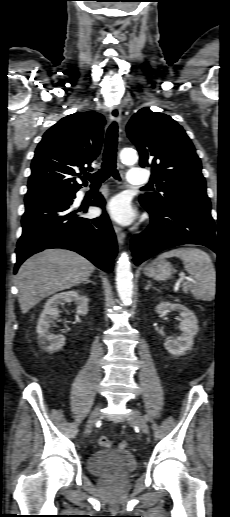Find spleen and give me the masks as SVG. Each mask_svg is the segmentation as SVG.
<instances>
[{"label": "spleen", "instance_id": "3e777b00", "mask_svg": "<svg viewBox=\"0 0 230 517\" xmlns=\"http://www.w3.org/2000/svg\"><path fill=\"white\" fill-rule=\"evenodd\" d=\"M179 257L185 270L195 278L193 284H188L196 299L210 301L216 294V271L209 255L197 248H178L158 256V259Z\"/></svg>", "mask_w": 230, "mask_h": 517}]
</instances>
